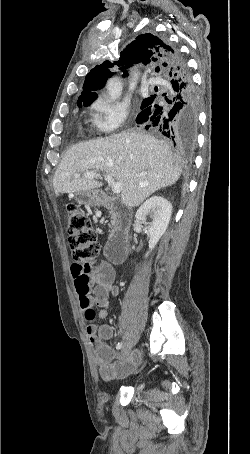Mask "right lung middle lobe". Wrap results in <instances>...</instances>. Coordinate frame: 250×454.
Segmentation results:
<instances>
[{
	"label": "right lung middle lobe",
	"instance_id": "right-lung-middle-lobe-1",
	"mask_svg": "<svg viewBox=\"0 0 250 454\" xmlns=\"http://www.w3.org/2000/svg\"><path fill=\"white\" fill-rule=\"evenodd\" d=\"M148 99H149V98L144 99L143 102H142V104H144ZM91 103H92V102H83V105H84V106H89ZM78 106H79V107L82 106L81 102L78 103Z\"/></svg>",
	"mask_w": 250,
	"mask_h": 454
}]
</instances>
